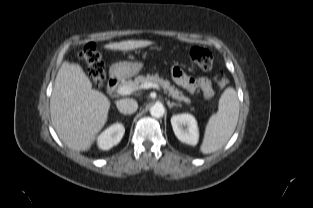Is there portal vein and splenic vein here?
I'll use <instances>...</instances> for the list:
<instances>
[{
    "label": "portal vein and splenic vein",
    "mask_w": 313,
    "mask_h": 208,
    "mask_svg": "<svg viewBox=\"0 0 313 208\" xmlns=\"http://www.w3.org/2000/svg\"><path fill=\"white\" fill-rule=\"evenodd\" d=\"M141 88L149 89L154 88L160 90V87L156 83L147 82L141 85ZM118 94L120 95H130L133 92V89L130 86H120L117 89Z\"/></svg>",
    "instance_id": "1"
}]
</instances>
